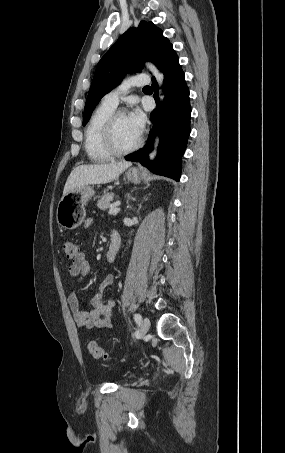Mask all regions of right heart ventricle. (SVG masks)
<instances>
[{
  "instance_id": "1",
  "label": "right heart ventricle",
  "mask_w": 285,
  "mask_h": 453,
  "mask_svg": "<svg viewBox=\"0 0 285 453\" xmlns=\"http://www.w3.org/2000/svg\"><path fill=\"white\" fill-rule=\"evenodd\" d=\"M116 107L102 101L93 111L85 129L84 148L88 158L95 163L110 160L112 155L103 144V128L109 115Z\"/></svg>"
}]
</instances>
